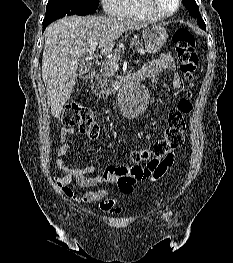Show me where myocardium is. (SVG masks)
Returning a JSON list of instances; mask_svg holds the SVG:
<instances>
[{
  "instance_id": "myocardium-1",
  "label": "myocardium",
  "mask_w": 233,
  "mask_h": 263,
  "mask_svg": "<svg viewBox=\"0 0 233 263\" xmlns=\"http://www.w3.org/2000/svg\"><path fill=\"white\" fill-rule=\"evenodd\" d=\"M147 3L150 7V9L157 14L158 16H160L161 18H167V17H171L174 14H176V12L179 10L180 5H181V0H175V8L170 11V12H165L163 10L160 9V7L157 5V1L156 0H147Z\"/></svg>"
}]
</instances>
